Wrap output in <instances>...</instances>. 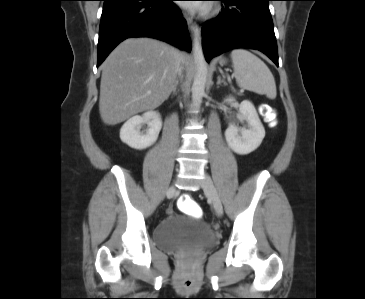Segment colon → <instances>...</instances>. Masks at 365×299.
I'll list each match as a JSON object with an SVG mask.
<instances>
[{"label":"colon","mask_w":365,"mask_h":299,"mask_svg":"<svg viewBox=\"0 0 365 299\" xmlns=\"http://www.w3.org/2000/svg\"><path fill=\"white\" fill-rule=\"evenodd\" d=\"M268 115H273V112L270 111ZM274 121V118L272 119ZM178 208L192 216H200L201 215V209L197 202L188 194H183L179 197L177 201Z\"/></svg>","instance_id":"obj_1"}]
</instances>
